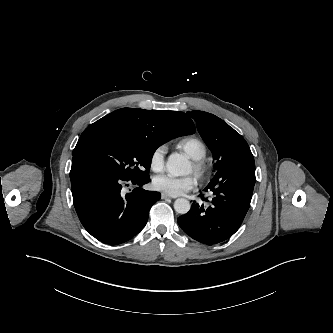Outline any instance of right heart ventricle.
<instances>
[{"label": "right heart ventricle", "mask_w": 333, "mask_h": 333, "mask_svg": "<svg viewBox=\"0 0 333 333\" xmlns=\"http://www.w3.org/2000/svg\"><path fill=\"white\" fill-rule=\"evenodd\" d=\"M191 159H202L207 154L206 145L196 137H184L176 143Z\"/></svg>", "instance_id": "1"}]
</instances>
